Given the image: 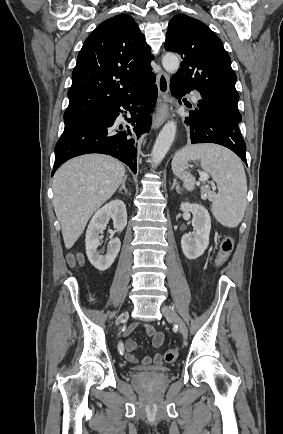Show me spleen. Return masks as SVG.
<instances>
[{
  "label": "spleen",
  "mask_w": 283,
  "mask_h": 434,
  "mask_svg": "<svg viewBox=\"0 0 283 434\" xmlns=\"http://www.w3.org/2000/svg\"><path fill=\"white\" fill-rule=\"evenodd\" d=\"M189 160H200L218 187L212 213L222 225L233 228L242 221L246 209L247 180L241 160L228 149L214 144H198L180 150L172 161L173 173L183 180L189 191L195 178L186 171Z\"/></svg>",
  "instance_id": "3e777b00"
}]
</instances>
